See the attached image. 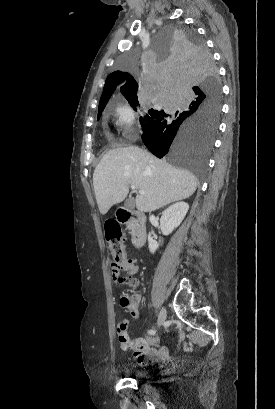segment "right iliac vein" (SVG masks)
Masks as SVG:
<instances>
[{
	"mask_svg": "<svg viewBox=\"0 0 275 409\" xmlns=\"http://www.w3.org/2000/svg\"><path fill=\"white\" fill-rule=\"evenodd\" d=\"M165 320H166V310L165 308H162L158 315V320H157L158 326L162 325L165 322Z\"/></svg>",
	"mask_w": 275,
	"mask_h": 409,
	"instance_id": "obj_1",
	"label": "right iliac vein"
}]
</instances>
